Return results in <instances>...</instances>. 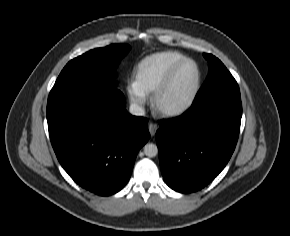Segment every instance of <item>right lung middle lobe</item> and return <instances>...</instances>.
I'll return each mask as SVG.
<instances>
[{
    "label": "right lung middle lobe",
    "mask_w": 290,
    "mask_h": 236,
    "mask_svg": "<svg viewBox=\"0 0 290 236\" xmlns=\"http://www.w3.org/2000/svg\"><path fill=\"white\" fill-rule=\"evenodd\" d=\"M129 50V45L112 44L71 60L63 68L50 93L116 89V82L112 80L114 70Z\"/></svg>",
    "instance_id": "obj_1"
}]
</instances>
